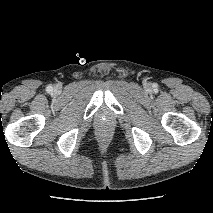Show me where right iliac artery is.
Returning <instances> with one entry per match:
<instances>
[{"mask_svg": "<svg viewBox=\"0 0 213 213\" xmlns=\"http://www.w3.org/2000/svg\"><path fill=\"white\" fill-rule=\"evenodd\" d=\"M46 90L48 91V92H51L52 90H53V88H52V86H47V88H46Z\"/></svg>", "mask_w": 213, "mask_h": 213, "instance_id": "obj_1", "label": "right iliac artery"}]
</instances>
